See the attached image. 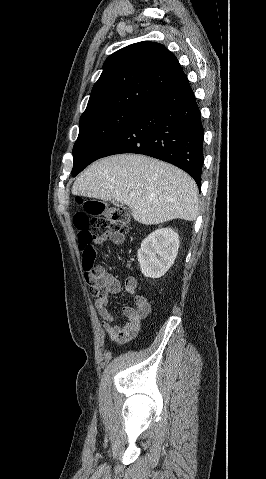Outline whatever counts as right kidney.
Segmentation results:
<instances>
[{
	"instance_id": "1",
	"label": "right kidney",
	"mask_w": 266,
	"mask_h": 479,
	"mask_svg": "<svg viewBox=\"0 0 266 479\" xmlns=\"http://www.w3.org/2000/svg\"><path fill=\"white\" fill-rule=\"evenodd\" d=\"M179 248V235L172 228H160L145 238L138 250V262L147 278H160L173 265Z\"/></svg>"
}]
</instances>
